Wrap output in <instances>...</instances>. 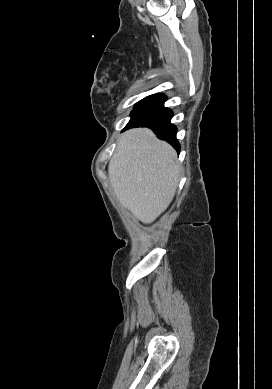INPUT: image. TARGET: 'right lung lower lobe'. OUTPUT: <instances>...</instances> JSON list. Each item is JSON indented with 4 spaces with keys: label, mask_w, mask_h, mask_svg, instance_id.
I'll return each instance as SVG.
<instances>
[{
    "label": "right lung lower lobe",
    "mask_w": 272,
    "mask_h": 389,
    "mask_svg": "<svg viewBox=\"0 0 272 389\" xmlns=\"http://www.w3.org/2000/svg\"><path fill=\"white\" fill-rule=\"evenodd\" d=\"M165 100V96L161 94L148 97L134 108L131 119L123 131L134 127H148L159 139L170 143L179 153L180 145L176 139L177 128L170 123L173 113L163 106Z\"/></svg>",
    "instance_id": "right-lung-lower-lobe-1"
}]
</instances>
